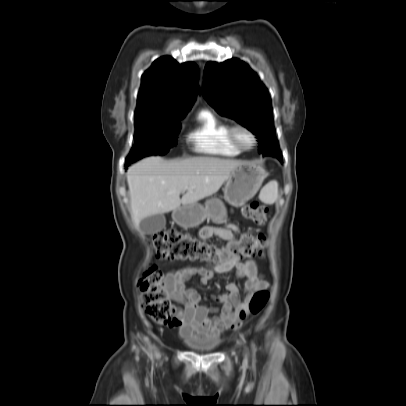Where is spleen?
<instances>
[{
	"instance_id": "spleen-1",
	"label": "spleen",
	"mask_w": 406,
	"mask_h": 406,
	"mask_svg": "<svg viewBox=\"0 0 406 406\" xmlns=\"http://www.w3.org/2000/svg\"><path fill=\"white\" fill-rule=\"evenodd\" d=\"M261 198L268 204L274 203L278 198V183L277 181H271L266 184L261 190Z\"/></svg>"
}]
</instances>
